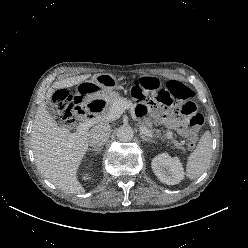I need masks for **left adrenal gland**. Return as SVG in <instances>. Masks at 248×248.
Returning a JSON list of instances; mask_svg holds the SVG:
<instances>
[{"label":"left adrenal gland","instance_id":"1","mask_svg":"<svg viewBox=\"0 0 248 248\" xmlns=\"http://www.w3.org/2000/svg\"><path fill=\"white\" fill-rule=\"evenodd\" d=\"M140 137H141V139H142L143 141L155 142V141L151 140L150 138L145 137L142 133H140Z\"/></svg>","mask_w":248,"mask_h":248}]
</instances>
